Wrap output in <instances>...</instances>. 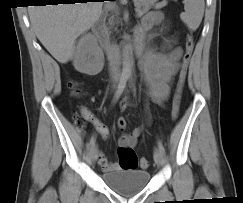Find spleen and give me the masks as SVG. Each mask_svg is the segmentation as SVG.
Returning a JSON list of instances; mask_svg holds the SVG:
<instances>
[{"label": "spleen", "mask_w": 243, "mask_h": 203, "mask_svg": "<svg viewBox=\"0 0 243 203\" xmlns=\"http://www.w3.org/2000/svg\"><path fill=\"white\" fill-rule=\"evenodd\" d=\"M204 8V0H184L185 12L180 17L189 30H197L204 15Z\"/></svg>", "instance_id": "spleen-1"}]
</instances>
